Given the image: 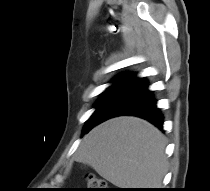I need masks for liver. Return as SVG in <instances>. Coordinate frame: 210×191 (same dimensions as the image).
Here are the masks:
<instances>
[{"mask_svg":"<svg viewBox=\"0 0 210 191\" xmlns=\"http://www.w3.org/2000/svg\"><path fill=\"white\" fill-rule=\"evenodd\" d=\"M166 139L137 117L110 119L89 132L75 158L119 188H160L167 172Z\"/></svg>","mask_w":210,"mask_h":191,"instance_id":"1","label":"liver"}]
</instances>
